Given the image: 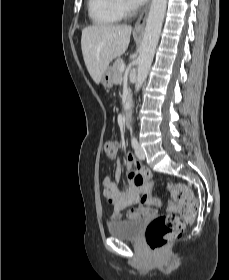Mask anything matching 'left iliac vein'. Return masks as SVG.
I'll return each instance as SVG.
<instances>
[{"mask_svg":"<svg viewBox=\"0 0 229 280\" xmlns=\"http://www.w3.org/2000/svg\"><path fill=\"white\" fill-rule=\"evenodd\" d=\"M135 154L139 159H141V160L145 159L144 150L140 145H138L137 148L135 149Z\"/></svg>","mask_w":229,"mask_h":280,"instance_id":"4c4485c4","label":"left iliac vein"}]
</instances>
